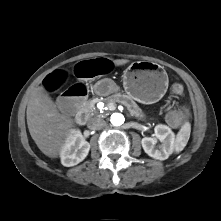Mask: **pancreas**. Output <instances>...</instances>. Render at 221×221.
Listing matches in <instances>:
<instances>
[{
	"instance_id": "1",
	"label": "pancreas",
	"mask_w": 221,
	"mask_h": 221,
	"mask_svg": "<svg viewBox=\"0 0 221 221\" xmlns=\"http://www.w3.org/2000/svg\"><path fill=\"white\" fill-rule=\"evenodd\" d=\"M97 100H90L87 103L86 111L89 114H94L96 112L95 103ZM106 105L109 103H120L124 105L131 115L135 116L139 120H145V114L142 112L141 108L137 105V103L128 95L125 94H116L106 98L103 101Z\"/></svg>"
}]
</instances>
